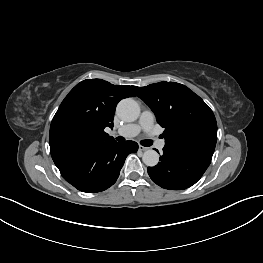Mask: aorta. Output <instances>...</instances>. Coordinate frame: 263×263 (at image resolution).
<instances>
[{"instance_id":"obj_1","label":"aorta","mask_w":263,"mask_h":263,"mask_svg":"<svg viewBox=\"0 0 263 263\" xmlns=\"http://www.w3.org/2000/svg\"><path fill=\"white\" fill-rule=\"evenodd\" d=\"M116 112L121 119L127 122H132L139 117L140 108L135 100L132 98H126L118 103ZM142 160L145 165L154 167L159 162V154L152 149L146 150L143 154Z\"/></svg>"}]
</instances>
